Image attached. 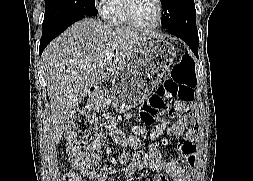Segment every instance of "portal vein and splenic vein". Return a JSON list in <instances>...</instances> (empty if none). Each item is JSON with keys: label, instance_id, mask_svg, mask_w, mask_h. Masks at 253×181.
Returning a JSON list of instances; mask_svg holds the SVG:
<instances>
[{"label": "portal vein and splenic vein", "instance_id": "portal-vein-and-splenic-vein-1", "mask_svg": "<svg viewBox=\"0 0 253 181\" xmlns=\"http://www.w3.org/2000/svg\"><path fill=\"white\" fill-rule=\"evenodd\" d=\"M106 57L109 58V59H111L112 57H114V53H112V52H107V53H106Z\"/></svg>", "mask_w": 253, "mask_h": 181}]
</instances>
